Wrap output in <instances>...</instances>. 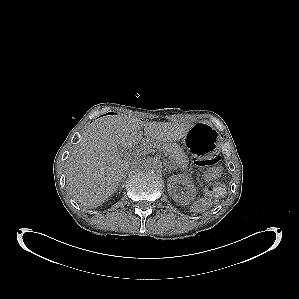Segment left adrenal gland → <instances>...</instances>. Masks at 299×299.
I'll return each instance as SVG.
<instances>
[{
	"label": "left adrenal gland",
	"mask_w": 299,
	"mask_h": 299,
	"mask_svg": "<svg viewBox=\"0 0 299 299\" xmlns=\"http://www.w3.org/2000/svg\"><path fill=\"white\" fill-rule=\"evenodd\" d=\"M167 167H168L169 172L171 170H176V168L174 166H172L171 164H168Z\"/></svg>",
	"instance_id": "a2214340"
}]
</instances>
